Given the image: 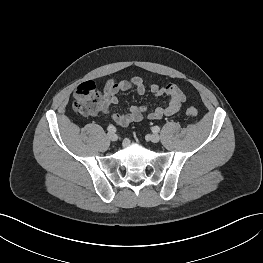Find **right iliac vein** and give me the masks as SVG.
Segmentation results:
<instances>
[{"instance_id":"63e3f726","label":"right iliac vein","mask_w":263,"mask_h":263,"mask_svg":"<svg viewBox=\"0 0 263 263\" xmlns=\"http://www.w3.org/2000/svg\"><path fill=\"white\" fill-rule=\"evenodd\" d=\"M107 137H108V139L111 140V141H117V139H118L117 134H115L114 132H109V133L107 134Z\"/></svg>"}]
</instances>
